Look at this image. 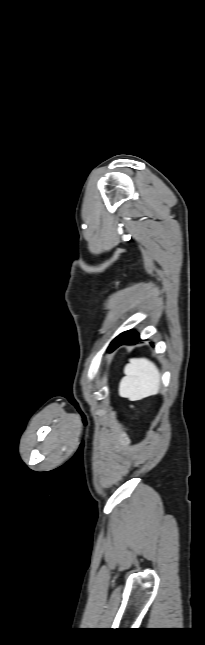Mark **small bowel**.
<instances>
[{
    "label": "small bowel",
    "mask_w": 205,
    "mask_h": 645,
    "mask_svg": "<svg viewBox=\"0 0 205 645\" xmlns=\"http://www.w3.org/2000/svg\"><path fill=\"white\" fill-rule=\"evenodd\" d=\"M120 440H121L122 444H128L129 443V438L126 437V436L122 437Z\"/></svg>",
    "instance_id": "small-bowel-1"
}]
</instances>
